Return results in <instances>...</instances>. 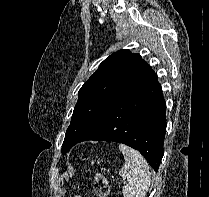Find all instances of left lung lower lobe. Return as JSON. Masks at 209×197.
Here are the masks:
<instances>
[{"label":"left lung lower lobe","instance_id":"obj_1","mask_svg":"<svg viewBox=\"0 0 209 197\" xmlns=\"http://www.w3.org/2000/svg\"><path fill=\"white\" fill-rule=\"evenodd\" d=\"M162 87L151 71L118 97L78 141H114L138 150L157 172L164 154Z\"/></svg>","mask_w":209,"mask_h":197}]
</instances>
